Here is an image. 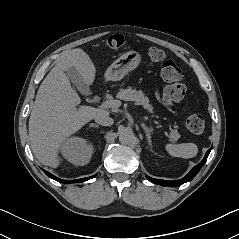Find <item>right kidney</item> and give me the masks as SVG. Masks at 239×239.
<instances>
[{
  "label": "right kidney",
  "mask_w": 239,
  "mask_h": 239,
  "mask_svg": "<svg viewBox=\"0 0 239 239\" xmlns=\"http://www.w3.org/2000/svg\"><path fill=\"white\" fill-rule=\"evenodd\" d=\"M61 153L70 163L77 166H83L90 161L93 153V146L86 139L73 136L63 142Z\"/></svg>",
  "instance_id": "right-kidney-1"
}]
</instances>
